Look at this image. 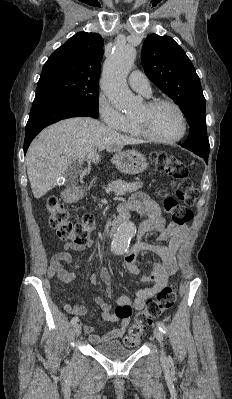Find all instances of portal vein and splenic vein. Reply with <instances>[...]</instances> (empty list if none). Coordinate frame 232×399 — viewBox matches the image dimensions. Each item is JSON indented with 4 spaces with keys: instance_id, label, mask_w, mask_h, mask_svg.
<instances>
[{
    "instance_id": "1",
    "label": "portal vein and splenic vein",
    "mask_w": 232,
    "mask_h": 399,
    "mask_svg": "<svg viewBox=\"0 0 232 399\" xmlns=\"http://www.w3.org/2000/svg\"><path fill=\"white\" fill-rule=\"evenodd\" d=\"M84 158H79L78 162H83ZM126 192H121V194H117V196H124Z\"/></svg>"
}]
</instances>
